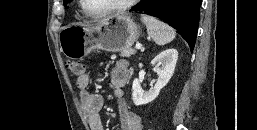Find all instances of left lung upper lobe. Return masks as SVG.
Returning a JSON list of instances; mask_svg holds the SVG:
<instances>
[{
	"label": "left lung upper lobe",
	"mask_w": 257,
	"mask_h": 130,
	"mask_svg": "<svg viewBox=\"0 0 257 130\" xmlns=\"http://www.w3.org/2000/svg\"><path fill=\"white\" fill-rule=\"evenodd\" d=\"M70 0H64L63 3H64V6H66L68 4Z\"/></svg>",
	"instance_id": "obj_1"
}]
</instances>
